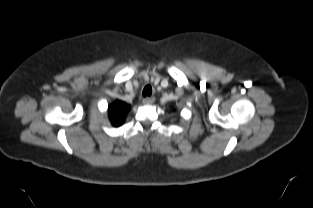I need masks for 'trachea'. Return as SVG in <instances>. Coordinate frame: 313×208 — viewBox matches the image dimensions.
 <instances>
[{
  "mask_svg": "<svg viewBox=\"0 0 313 208\" xmlns=\"http://www.w3.org/2000/svg\"><path fill=\"white\" fill-rule=\"evenodd\" d=\"M152 94V87L150 85L145 86L143 89V96H150Z\"/></svg>",
  "mask_w": 313,
  "mask_h": 208,
  "instance_id": "3493384b",
  "label": "trachea"
}]
</instances>
